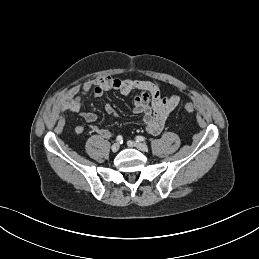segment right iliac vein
Here are the masks:
<instances>
[{
  "instance_id": "obj_1",
  "label": "right iliac vein",
  "mask_w": 259,
  "mask_h": 259,
  "mask_svg": "<svg viewBox=\"0 0 259 259\" xmlns=\"http://www.w3.org/2000/svg\"><path fill=\"white\" fill-rule=\"evenodd\" d=\"M119 148H120V145L118 143H115L112 145L111 150L113 152H117L119 150Z\"/></svg>"
}]
</instances>
